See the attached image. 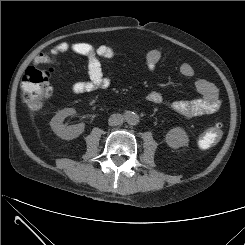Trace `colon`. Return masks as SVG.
Masks as SVG:
<instances>
[{
	"label": "colon",
	"mask_w": 245,
	"mask_h": 245,
	"mask_svg": "<svg viewBox=\"0 0 245 245\" xmlns=\"http://www.w3.org/2000/svg\"><path fill=\"white\" fill-rule=\"evenodd\" d=\"M52 87L50 74L33 66L27 68L22 79L23 102L33 110L39 109L43 102L51 95ZM222 136L220 124L206 128L199 138L202 148L215 145Z\"/></svg>",
	"instance_id": "1"
}]
</instances>
